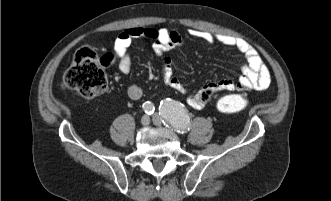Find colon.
<instances>
[{"label":"colon","instance_id":"1","mask_svg":"<svg viewBox=\"0 0 331 201\" xmlns=\"http://www.w3.org/2000/svg\"><path fill=\"white\" fill-rule=\"evenodd\" d=\"M114 60L112 54L100 55L89 47L78 50L69 69L62 79V87L74 95L93 98L103 94L107 89L105 67ZM246 89L218 99L217 109L223 113L240 112L248 107L249 98Z\"/></svg>","mask_w":331,"mask_h":201}]
</instances>
